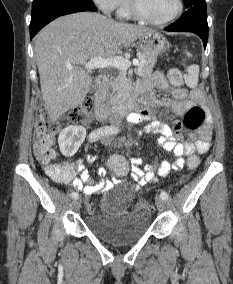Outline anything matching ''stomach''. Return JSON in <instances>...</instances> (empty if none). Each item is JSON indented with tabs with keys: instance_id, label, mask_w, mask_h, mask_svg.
I'll return each instance as SVG.
<instances>
[{
	"instance_id": "obj_1",
	"label": "stomach",
	"mask_w": 233,
	"mask_h": 284,
	"mask_svg": "<svg viewBox=\"0 0 233 284\" xmlns=\"http://www.w3.org/2000/svg\"><path fill=\"white\" fill-rule=\"evenodd\" d=\"M166 43V38L156 31H147L139 37V45L143 54L155 59L166 49Z\"/></svg>"
}]
</instances>
